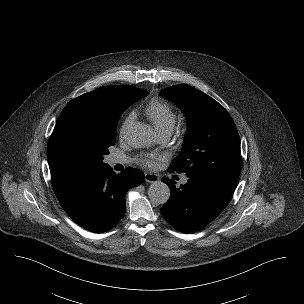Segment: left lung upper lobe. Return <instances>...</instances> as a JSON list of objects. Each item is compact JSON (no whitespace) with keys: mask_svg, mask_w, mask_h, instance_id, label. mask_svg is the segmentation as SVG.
Wrapping results in <instances>:
<instances>
[{"mask_svg":"<svg viewBox=\"0 0 304 304\" xmlns=\"http://www.w3.org/2000/svg\"><path fill=\"white\" fill-rule=\"evenodd\" d=\"M160 95L183 110L188 126L182 151L169 171L235 187L241 172L240 139L227 110L186 84L166 88Z\"/></svg>","mask_w":304,"mask_h":304,"instance_id":"1","label":"left lung upper lobe"}]
</instances>
